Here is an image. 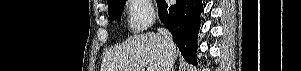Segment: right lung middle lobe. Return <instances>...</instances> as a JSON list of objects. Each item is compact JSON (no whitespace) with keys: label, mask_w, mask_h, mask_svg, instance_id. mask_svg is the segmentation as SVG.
Segmentation results:
<instances>
[{"label":"right lung middle lobe","mask_w":301,"mask_h":71,"mask_svg":"<svg viewBox=\"0 0 301 71\" xmlns=\"http://www.w3.org/2000/svg\"><path fill=\"white\" fill-rule=\"evenodd\" d=\"M125 2L126 0H112L108 2V14L110 22L120 19Z\"/></svg>","instance_id":"obj_1"}]
</instances>
